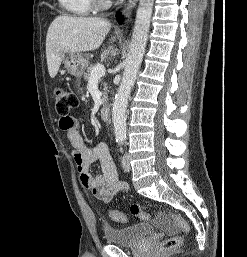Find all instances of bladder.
Wrapping results in <instances>:
<instances>
[{"mask_svg": "<svg viewBox=\"0 0 247 257\" xmlns=\"http://www.w3.org/2000/svg\"><path fill=\"white\" fill-rule=\"evenodd\" d=\"M105 240L117 246H133L153 233V227L146 223H139L125 228L105 227Z\"/></svg>", "mask_w": 247, "mask_h": 257, "instance_id": "1", "label": "bladder"}]
</instances>
